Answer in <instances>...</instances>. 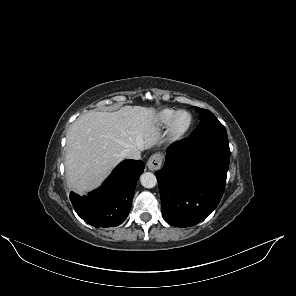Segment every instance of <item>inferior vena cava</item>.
<instances>
[{
	"instance_id": "inferior-vena-cava-1",
	"label": "inferior vena cava",
	"mask_w": 296,
	"mask_h": 296,
	"mask_svg": "<svg viewBox=\"0 0 296 296\" xmlns=\"http://www.w3.org/2000/svg\"><path fill=\"white\" fill-rule=\"evenodd\" d=\"M121 155L127 159L139 160L141 158V153H140V150L138 149L123 150Z\"/></svg>"
}]
</instances>
